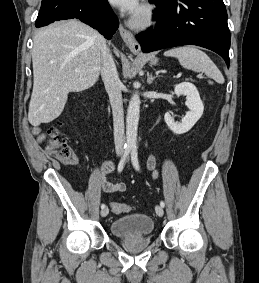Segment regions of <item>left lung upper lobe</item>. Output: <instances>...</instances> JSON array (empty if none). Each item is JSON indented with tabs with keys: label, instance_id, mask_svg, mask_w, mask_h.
Returning <instances> with one entry per match:
<instances>
[{
	"label": "left lung upper lobe",
	"instance_id": "obj_1",
	"mask_svg": "<svg viewBox=\"0 0 259 283\" xmlns=\"http://www.w3.org/2000/svg\"><path fill=\"white\" fill-rule=\"evenodd\" d=\"M162 1H164V2H168V1H172V0H162Z\"/></svg>",
	"mask_w": 259,
	"mask_h": 283
}]
</instances>
